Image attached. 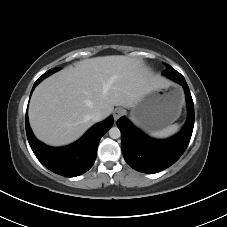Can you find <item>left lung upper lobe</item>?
Returning a JSON list of instances; mask_svg holds the SVG:
<instances>
[{"label":"left lung upper lobe","instance_id":"obj_1","mask_svg":"<svg viewBox=\"0 0 227 227\" xmlns=\"http://www.w3.org/2000/svg\"><path fill=\"white\" fill-rule=\"evenodd\" d=\"M164 75L169 78L172 77V75L181 76V74L173 69L170 65H167L166 70L164 71Z\"/></svg>","mask_w":227,"mask_h":227}]
</instances>
